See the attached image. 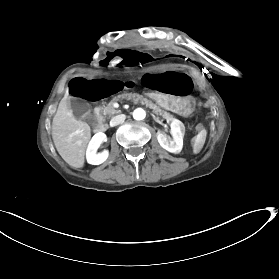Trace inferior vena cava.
<instances>
[{
  "instance_id": "inferior-vena-cava-1",
  "label": "inferior vena cava",
  "mask_w": 279,
  "mask_h": 279,
  "mask_svg": "<svg viewBox=\"0 0 279 279\" xmlns=\"http://www.w3.org/2000/svg\"><path fill=\"white\" fill-rule=\"evenodd\" d=\"M124 120H125V115L121 114V115H118V116L114 117L111 120V123H112L113 126H116V125H119L120 123L124 122Z\"/></svg>"
}]
</instances>
